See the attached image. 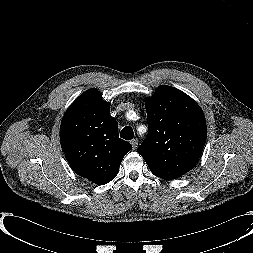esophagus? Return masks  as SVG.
I'll use <instances>...</instances> for the list:
<instances>
[{
  "instance_id": "1",
  "label": "esophagus",
  "mask_w": 253,
  "mask_h": 253,
  "mask_svg": "<svg viewBox=\"0 0 253 253\" xmlns=\"http://www.w3.org/2000/svg\"><path fill=\"white\" fill-rule=\"evenodd\" d=\"M131 145H132L133 149H136L138 146V139L131 140Z\"/></svg>"
}]
</instances>
